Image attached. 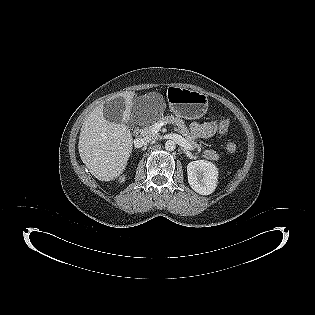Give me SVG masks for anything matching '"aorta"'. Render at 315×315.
<instances>
[{"label": "aorta", "instance_id": "aorta-1", "mask_svg": "<svg viewBox=\"0 0 315 315\" xmlns=\"http://www.w3.org/2000/svg\"><path fill=\"white\" fill-rule=\"evenodd\" d=\"M176 148V143L173 140H167L165 143V149L167 151H173Z\"/></svg>", "mask_w": 315, "mask_h": 315}]
</instances>
